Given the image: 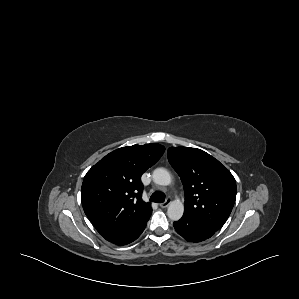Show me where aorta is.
Instances as JSON below:
<instances>
[{
	"label": "aorta",
	"mask_w": 299,
	"mask_h": 299,
	"mask_svg": "<svg viewBox=\"0 0 299 299\" xmlns=\"http://www.w3.org/2000/svg\"><path fill=\"white\" fill-rule=\"evenodd\" d=\"M152 178L155 184L168 186L172 182L170 173L164 168H157L153 171ZM184 213V205L180 200L170 202L167 215L173 221H178Z\"/></svg>",
	"instance_id": "762f6f07"
}]
</instances>
